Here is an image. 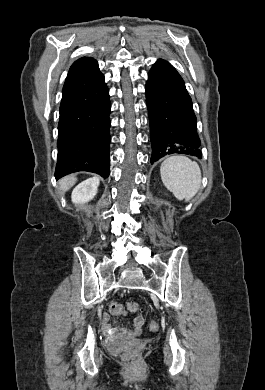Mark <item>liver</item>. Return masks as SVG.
I'll return each instance as SVG.
<instances>
[{
  "label": "liver",
  "instance_id": "6515ba94",
  "mask_svg": "<svg viewBox=\"0 0 265 390\" xmlns=\"http://www.w3.org/2000/svg\"><path fill=\"white\" fill-rule=\"evenodd\" d=\"M76 181L77 178L74 175L66 176L59 181L60 189L65 193L76 183Z\"/></svg>",
  "mask_w": 265,
  "mask_h": 390
}]
</instances>
